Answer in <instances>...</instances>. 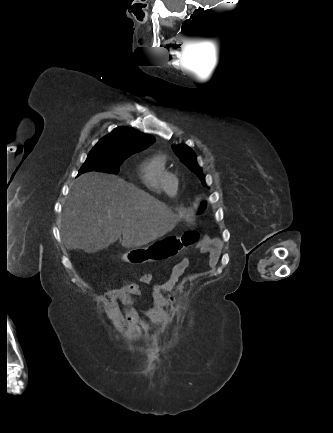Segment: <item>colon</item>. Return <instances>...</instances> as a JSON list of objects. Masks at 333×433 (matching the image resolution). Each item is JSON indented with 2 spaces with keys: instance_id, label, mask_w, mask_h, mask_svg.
<instances>
[{
  "instance_id": "colon-1",
  "label": "colon",
  "mask_w": 333,
  "mask_h": 433,
  "mask_svg": "<svg viewBox=\"0 0 333 433\" xmlns=\"http://www.w3.org/2000/svg\"><path fill=\"white\" fill-rule=\"evenodd\" d=\"M199 238L195 231H187L183 236H160L145 249H125L122 262L127 265H158L160 258H175L181 247L193 245Z\"/></svg>"
}]
</instances>
